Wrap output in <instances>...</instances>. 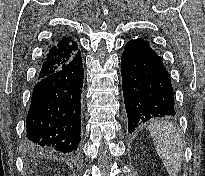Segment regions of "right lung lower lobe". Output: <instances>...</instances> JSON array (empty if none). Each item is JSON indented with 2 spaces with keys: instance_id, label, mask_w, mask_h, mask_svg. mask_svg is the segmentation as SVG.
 <instances>
[{
  "instance_id": "98d812e1",
  "label": "right lung lower lobe",
  "mask_w": 205,
  "mask_h": 176,
  "mask_svg": "<svg viewBox=\"0 0 205 176\" xmlns=\"http://www.w3.org/2000/svg\"><path fill=\"white\" fill-rule=\"evenodd\" d=\"M83 79L80 51L62 67L38 79L26 119L31 151L79 150Z\"/></svg>"
}]
</instances>
